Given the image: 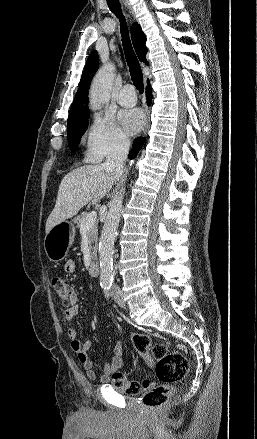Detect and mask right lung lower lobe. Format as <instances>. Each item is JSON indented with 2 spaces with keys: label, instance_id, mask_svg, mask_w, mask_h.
<instances>
[{
  "label": "right lung lower lobe",
  "instance_id": "right-lung-lower-lobe-1",
  "mask_svg": "<svg viewBox=\"0 0 257 439\" xmlns=\"http://www.w3.org/2000/svg\"><path fill=\"white\" fill-rule=\"evenodd\" d=\"M147 88H146V99H147V104L151 105L152 102V88L150 86V82H147ZM143 145V139L142 138H136L134 141V149H132L129 153V158L130 159H134L137 156V153L139 152L140 148Z\"/></svg>",
  "mask_w": 257,
  "mask_h": 439
}]
</instances>
